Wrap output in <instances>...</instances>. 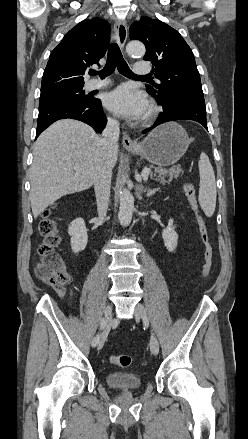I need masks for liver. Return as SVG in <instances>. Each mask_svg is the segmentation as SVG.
Segmentation results:
<instances>
[{"label":"liver","instance_id":"obj_1","mask_svg":"<svg viewBox=\"0 0 248 439\" xmlns=\"http://www.w3.org/2000/svg\"><path fill=\"white\" fill-rule=\"evenodd\" d=\"M117 158L118 149L107 154L102 138L87 124L73 119L53 123L34 144L29 175L34 218L61 197L89 189L98 169L106 162L113 168Z\"/></svg>","mask_w":248,"mask_h":439}]
</instances>
